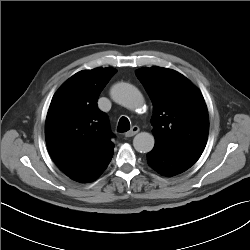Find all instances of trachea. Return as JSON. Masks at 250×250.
Instances as JSON below:
<instances>
[{
	"instance_id": "obj_1",
	"label": "trachea",
	"mask_w": 250,
	"mask_h": 250,
	"mask_svg": "<svg viewBox=\"0 0 250 250\" xmlns=\"http://www.w3.org/2000/svg\"><path fill=\"white\" fill-rule=\"evenodd\" d=\"M130 129V122L126 117H121L118 123V132H126Z\"/></svg>"
}]
</instances>
